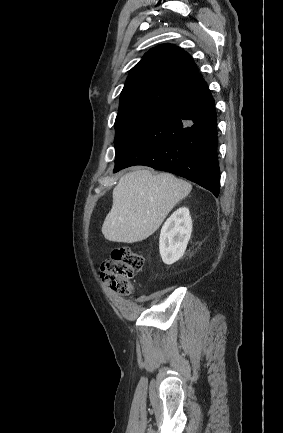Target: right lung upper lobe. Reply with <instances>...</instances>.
Here are the masks:
<instances>
[{
  "label": "right lung upper lobe",
  "mask_w": 283,
  "mask_h": 433,
  "mask_svg": "<svg viewBox=\"0 0 283 433\" xmlns=\"http://www.w3.org/2000/svg\"><path fill=\"white\" fill-rule=\"evenodd\" d=\"M190 55L172 44L152 48L132 68L120 96L119 109L137 107L165 111L207 89Z\"/></svg>",
  "instance_id": "cb5924a9"
}]
</instances>
